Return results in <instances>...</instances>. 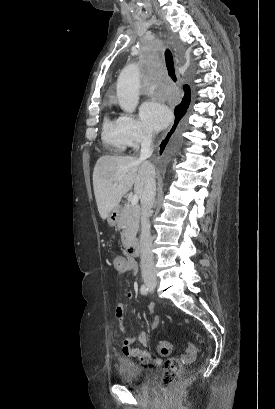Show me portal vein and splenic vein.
Returning a JSON list of instances; mask_svg holds the SVG:
<instances>
[{"instance_id":"obj_1","label":"portal vein and splenic vein","mask_w":275,"mask_h":409,"mask_svg":"<svg viewBox=\"0 0 275 409\" xmlns=\"http://www.w3.org/2000/svg\"><path fill=\"white\" fill-rule=\"evenodd\" d=\"M138 194H133L132 200H131V205H138Z\"/></svg>"}]
</instances>
